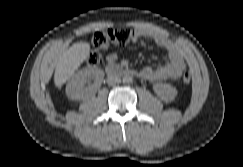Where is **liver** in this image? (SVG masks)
Segmentation results:
<instances>
[{"label": "liver", "mask_w": 243, "mask_h": 167, "mask_svg": "<svg viewBox=\"0 0 243 167\" xmlns=\"http://www.w3.org/2000/svg\"><path fill=\"white\" fill-rule=\"evenodd\" d=\"M89 53L90 45L87 42L74 43L66 52H64L55 69V86L61 88V86L73 76L75 71L89 56Z\"/></svg>", "instance_id": "obj_1"}]
</instances>
